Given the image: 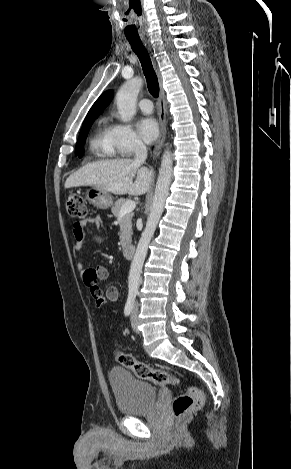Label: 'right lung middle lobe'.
<instances>
[{
    "label": "right lung middle lobe",
    "instance_id": "dd1d6c3e",
    "mask_svg": "<svg viewBox=\"0 0 291 469\" xmlns=\"http://www.w3.org/2000/svg\"><path fill=\"white\" fill-rule=\"evenodd\" d=\"M94 119H95L94 117L86 118L83 122L81 131H80V134H79V138H78V141L76 143V150H75L76 156H78L80 158L83 156L84 140L87 136V133H88Z\"/></svg>",
    "mask_w": 291,
    "mask_h": 469
}]
</instances>
